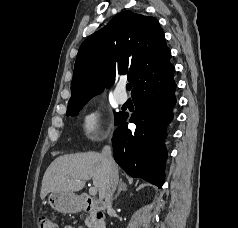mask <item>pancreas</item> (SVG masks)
I'll return each mask as SVG.
<instances>
[{"mask_svg": "<svg viewBox=\"0 0 238 228\" xmlns=\"http://www.w3.org/2000/svg\"><path fill=\"white\" fill-rule=\"evenodd\" d=\"M85 225L89 228H92L95 225V220H94L93 214L86 218Z\"/></svg>", "mask_w": 238, "mask_h": 228, "instance_id": "obj_1", "label": "pancreas"}]
</instances>
